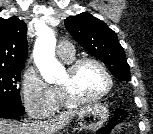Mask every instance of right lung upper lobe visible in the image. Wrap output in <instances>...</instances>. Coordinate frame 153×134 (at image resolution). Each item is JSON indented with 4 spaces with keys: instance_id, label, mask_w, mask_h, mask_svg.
<instances>
[{
    "instance_id": "cb5924a9",
    "label": "right lung upper lobe",
    "mask_w": 153,
    "mask_h": 134,
    "mask_svg": "<svg viewBox=\"0 0 153 134\" xmlns=\"http://www.w3.org/2000/svg\"><path fill=\"white\" fill-rule=\"evenodd\" d=\"M27 51L26 23L0 18V67H24Z\"/></svg>"
}]
</instances>
